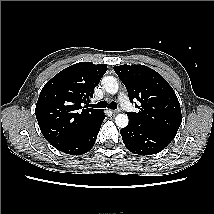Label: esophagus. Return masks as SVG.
I'll use <instances>...</instances> for the list:
<instances>
[{
	"instance_id": "1",
	"label": "esophagus",
	"mask_w": 214,
	"mask_h": 214,
	"mask_svg": "<svg viewBox=\"0 0 214 214\" xmlns=\"http://www.w3.org/2000/svg\"><path fill=\"white\" fill-rule=\"evenodd\" d=\"M119 112H120V110H119V109L112 110V113H113V114H117V113H119Z\"/></svg>"
}]
</instances>
